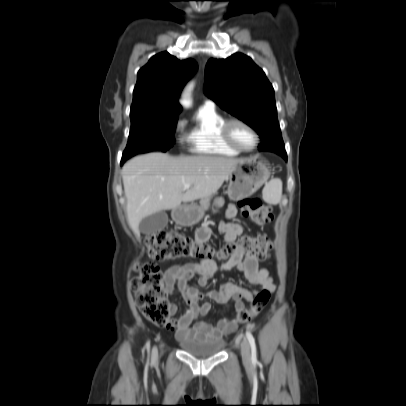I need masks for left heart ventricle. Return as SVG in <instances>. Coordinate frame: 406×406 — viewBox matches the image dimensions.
I'll return each mask as SVG.
<instances>
[{"label": "left heart ventricle", "instance_id": "left-heart-ventricle-1", "mask_svg": "<svg viewBox=\"0 0 406 406\" xmlns=\"http://www.w3.org/2000/svg\"><path fill=\"white\" fill-rule=\"evenodd\" d=\"M231 135L234 141L243 148H251L255 138L251 131L241 124H234L231 127Z\"/></svg>", "mask_w": 406, "mask_h": 406}]
</instances>
